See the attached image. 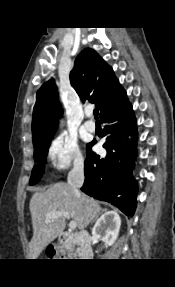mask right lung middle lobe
<instances>
[{
    "instance_id": "right-lung-middle-lobe-1",
    "label": "right lung middle lobe",
    "mask_w": 175,
    "mask_h": 287,
    "mask_svg": "<svg viewBox=\"0 0 175 287\" xmlns=\"http://www.w3.org/2000/svg\"><path fill=\"white\" fill-rule=\"evenodd\" d=\"M53 136L45 138L41 141L34 143V159L36 164L32 170L30 178V185L36 184L44 173V163L46 162V156L48 154V148Z\"/></svg>"
}]
</instances>
